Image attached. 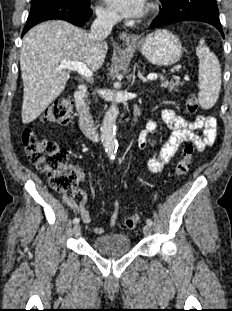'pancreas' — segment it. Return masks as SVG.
Here are the masks:
<instances>
[{"label": "pancreas", "mask_w": 232, "mask_h": 311, "mask_svg": "<svg viewBox=\"0 0 232 311\" xmlns=\"http://www.w3.org/2000/svg\"><path fill=\"white\" fill-rule=\"evenodd\" d=\"M161 85L164 88H167L170 92L171 91H178V86L181 84L179 80L176 81H168L163 75L160 76Z\"/></svg>", "instance_id": "cf45deb5"}]
</instances>
